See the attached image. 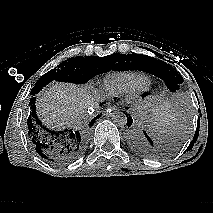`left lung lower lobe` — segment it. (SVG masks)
Masks as SVG:
<instances>
[{"mask_svg": "<svg viewBox=\"0 0 213 213\" xmlns=\"http://www.w3.org/2000/svg\"><path fill=\"white\" fill-rule=\"evenodd\" d=\"M167 87L171 90L169 85H167ZM126 116L128 119L127 126L131 127L133 119L130 115L126 114ZM127 138L132 149L142 156L156 158L159 157L163 152L161 147L157 145L152 136L145 130L131 128Z\"/></svg>", "mask_w": 213, "mask_h": 213, "instance_id": "left-lung-lower-lobe-1", "label": "left lung lower lobe"}]
</instances>
